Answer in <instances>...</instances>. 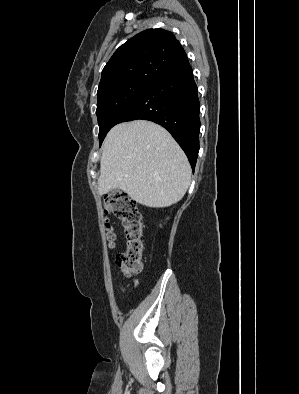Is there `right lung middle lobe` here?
I'll return each mask as SVG.
<instances>
[{"instance_id":"dd1d6c3e","label":"right lung middle lobe","mask_w":299,"mask_h":394,"mask_svg":"<svg viewBox=\"0 0 299 394\" xmlns=\"http://www.w3.org/2000/svg\"><path fill=\"white\" fill-rule=\"evenodd\" d=\"M151 85V83H125L101 94H97L96 115L99 124L100 145L108 131L117 124L129 106Z\"/></svg>"}]
</instances>
